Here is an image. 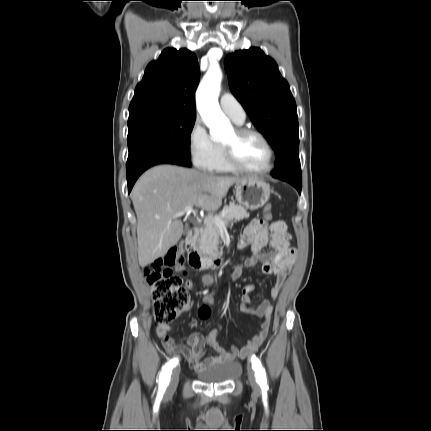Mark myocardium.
Returning <instances> with one entry per match:
<instances>
[{
  "label": "myocardium",
  "instance_id": "1",
  "mask_svg": "<svg viewBox=\"0 0 431 431\" xmlns=\"http://www.w3.org/2000/svg\"><path fill=\"white\" fill-rule=\"evenodd\" d=\"M234 132H235V135L237 138H242V137L248 136V135L257 136L264 143V145L266 146V148L268 150L269 161L265 167L260 168V169H251V168L245 167L238 160L236 153H235L234 146L231 144H227V143L223 142L225 157H226V160H227V163L229 164V166L234 171L241 172V173H249V174H263V173H267V172L271 171L272 168L274 167V163H275V151H274V148L271 145L270 141L268 140V138L262 132L254 129V128L237 127L234 129Z\"/></svg>",
  "mask_w": 431,
  "mask_h": 431
}]
</instances>
